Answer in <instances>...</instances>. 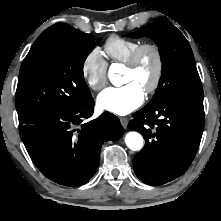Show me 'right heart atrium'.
Listing matches in <instances>:
<instances>
[{
	"label": "right heart atrium",
	"instance_id": "d8ad5b80",
	"mask_svg": "<svg viewBox=\"0 0 221 221\" xmlns=\"http://www.w3.org/2000/svg\"><path fill=\"white\" fill-rule=\"evenodd\" d=\"M107 67L99 48H93L85 55L81 64V74L90 89L99 91L105 86Z\"/></svg>",
	"mask_w": 221,
	"mask_h": 221
}]
</instances>
